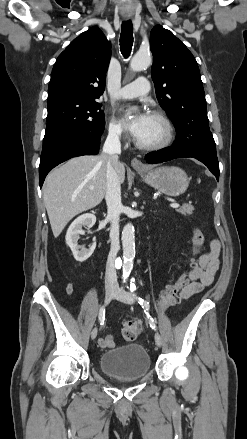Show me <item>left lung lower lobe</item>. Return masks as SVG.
<instances>
[{
	"label": "left lung lower lobe",
	"mask_w": 247,
	"mask_h": 439,
	"mask_svg": "<svg viewBox=\"0 0 247 439\" xmlns=\"http://www.w3.org/2000/svg\"><path fill=\"white\" fill-rule=\"evenodd\" d=\"M182 157H192V158H195V159L201 161L216 176L217 180H219V169L211 167L206 161H204L203 159H201L197 156H194L192 154H189V153L182 151L175 144L171 147L166 148V149L148 153L145 156V159L149 164H156V163H162V162H166V161H170L172 159L182 158Z\"/></svg>",
	"instance_id": "1"
}]
</instances>
